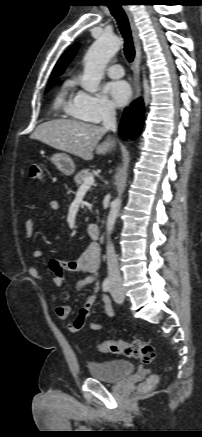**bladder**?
I'll list each match as a JSON object with an SVG mask.
<instances>
[{"label":"bladder","mask_w":202,"mask_h":437,"mask_svg":"<svg viewBox=\"0 0 202 437\" xmlns=\"http://www.w3.org/2000/svg\"><path fill=\"white\" fill-rule=\"evenodd\" d=\"M88 370L94 379L116 383L131 375L135 365L128 360L92 361L88 363Z\"/></svg>","instance_id":"obj_1"}]
</instances>
